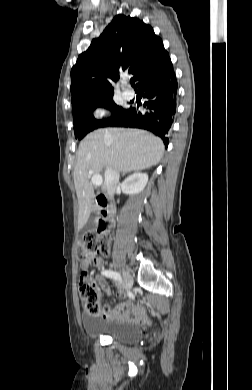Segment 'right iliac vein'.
I'll return each instance as SVG.
<instances>
[{"label":"right iliac vein","instance_id":"1","mask_svg":"<svg viewBox=\"0 0 252 390\" xmlns=\"http://www.w3.org/2000/svg\"><path fill=\"white\" fill-rule=\"evenodd\" d=\"M125 285L128 289L132 288L133 285V278L131 274L128 271L123 270L122 272Z\"/></svg>","mask_w":252,"mask_h":390}]
</instances>
